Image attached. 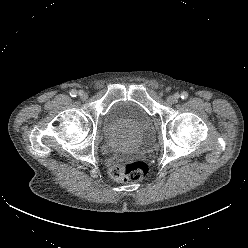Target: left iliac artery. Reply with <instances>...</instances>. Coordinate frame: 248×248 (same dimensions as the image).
<instances>
[{"label":"left iliac artery","instance_id":"44dca946","mask_svg":"<svg viewBox=\"0 0 248 248\" xmlns=\"http://www.w3.org/2000/svg\"><path fill=\"white\" fill-rule=\"evenodd\" d=\"M178 97H179V95H177V98ZM180 97L185 100V99L188 98V93L187 92H182L181 95H180Z\"/></svg>","mask_w":248,"mask_h":248}]
</instances>
